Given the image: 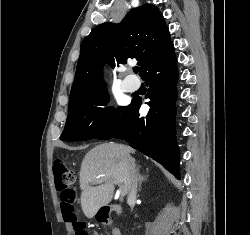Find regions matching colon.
<instances>
[{
	"mask_svg": "<svg viewBox=\"0 0 250 235\" xmlns=\"http://www.w3.org/2000/svg\"><path fill=\"white\" fill-rule=\"evenodd\" d=\"M53 171L64 220L72 225L75 235H88L85 223L78 219L75 211L76 193L71 188L77 178L74 167L59 160L54 163Z\"/></svg>",
	"mask_w": 250,
	"mask_h": 235,
	"instance_id": "5ec220e1",
	"label": "colon"
}]
</instances>
